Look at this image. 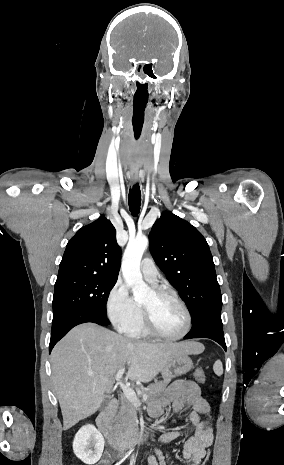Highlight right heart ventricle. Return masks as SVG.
I'll return each instance as SVG.
<instances>
[{
  "instance_id": "e07e8e85",
  "label": "right heart ventricle",
  "mask_w": 284,
  "mask_h": 465,
  "mask_svg": "<svg viewBox=\"0 0 284 465\" xmlns=\"http://www.w3.org/2000/svg\"><path fill=\"white\" fill-rule=\"evenodd\" d=\"M143 321L142 312L137 317L134 324L123 330L126 336L133 339H145L147 334L144 332L140 322Z\"/></svg>"
}]
</instances>
